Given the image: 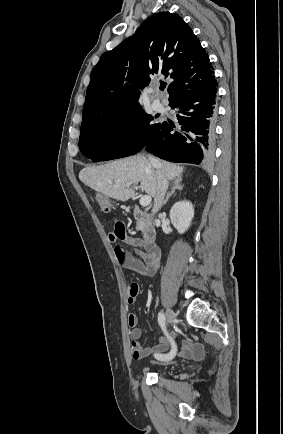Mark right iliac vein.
<instances>
[{
    "instance_id": "right-iliac-vein-1",
    "label": "right iliac vein",
    "mask_w": 283,
    "mask_h": 434,
    "mask_svg": "<svg viewBox=\"0 0 283 434\" xmlns=\"http://www.w3.org/2000/svg\"><path fill=\"white\" fill-rule=\"evenodd\" d=\"M177 317V314L171 310L170 308H167L166 310V319L168 323H172Z\"/></svg>"
}]
</instances>
